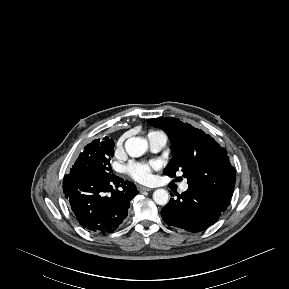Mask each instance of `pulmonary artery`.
Returning <instances> with one entry per match:
<instances>
[{"label":"pulmonary artery","mask_w":289,"mask_h":289,"mask_svg":"<svg viewBox=\"0 0 289 289\" xmlns=\"http://www.w3.org/2000/svg\"><path fill=\"white\" fill-rule=\"evenodd\" d=\"M147 142H148L149 149L152 152L157 153L165 147L166 142H167V137L162 132H152L147 135ZM187 189H188V184L186 182H183L180 185V191L185 192Z\"/></svg>","instance_id":"1"}]
</instances>
